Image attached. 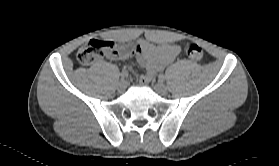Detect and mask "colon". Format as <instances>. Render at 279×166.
Returning a JSON list of instances; mask_svg holds the SVG:
<instances>
[{
    "instance_id": "colon-1",
    "label": "colon",
    "mask_w": 279,
    "mask_h": 166,
    "mask_svg": "<svg viewBox=\"0 0 279 166\" xmlns=\"http://www.w3.org/2000/svg\"><path fill=\"white\" fill-rule=\"evenodd\" d=\"M124 48L108 40H92L81 47L77 52V61L82 65H91L109 53H116ZM186 56L193 61H200L203 58L202 48L195 43H188L184 46Z\"/></svg>"
}]
</instances>
